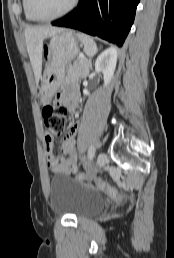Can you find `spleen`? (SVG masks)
Returning <instances> with one entry per match:
<instances>
[{"instance_id":"obj_1","label":"spleen","mask_w":174,"mask_h":258,"mask_svg":"<svg viewBox=\"0 0 174 258\" xmlns=\"http://www.w3.org/2000/svg\"><path fill=\"white\" fill-rule=\"evenodd\" d=\"M76 35H77L78 39L84 45L85 54L90 58L93 57L94 55H96L98 49H97V45H96L94 39L83 33H77Z\"/></svg>"}]
</instances>
